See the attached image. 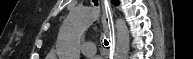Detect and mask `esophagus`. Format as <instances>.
<instances>
[{
  "label": "esophagus",
  "instance_id": "1",
  "mask_svg": "<svg viewBox=\"0 0 193 59\" xmlns=\"http://www.w3.org/2000/svg\"><path fill=\"white\" fill-rule=\"evenodd\" d=\"M93 6H101L102 9V21L103 25L107 31V34L109 36V53L107 55V59H113L115 54V29H114V21H113V10L111 8V2L109 0L104 1H91ZM104 43V41H103Z\"/></svg>",
  "mask_w": 193,
  "mask_h": 59
}]
</instances>
